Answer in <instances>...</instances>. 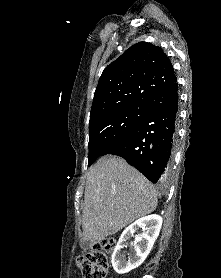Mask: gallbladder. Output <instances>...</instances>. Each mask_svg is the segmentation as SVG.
Wrapping results in <instances>:
<instances>
[{
  "label": "gallbladder",
  "instance_id": "1",
  "mask_svg": "<svg viewBox=\"0 0 221 278\" xmlns=\"http://www.w3.org/2000/svg\"><path fill=\"white\" fill-rule=\"evenodd\" d=\"M91 244H90V241L88 240H82L81 241V248L86 251L90 248Z\"/></svg>",
  "mask_w": 221,
  "mask_h": 278
}]
</instances>
